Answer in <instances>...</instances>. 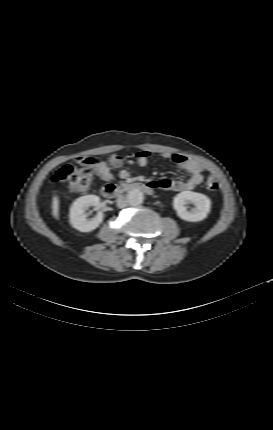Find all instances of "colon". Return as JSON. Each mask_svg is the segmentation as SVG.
Returning a JSON list of instances; mask_svg holds the SVG:
<instances>
[{"label":"colon","instance_id":"5ec220e1","mask_svg":"<svg viewBox=\"0 0 273 430\" xmlns=\"http://www.w3.org/2000/svg\"><path fill=\"white\" fill-rule=\"evenodd\" d=\"M91 172L85 157L77 159L76 165H63L52 175V181L66 187L76 193H84L91 183ZM206 189L213 192L218 189V183L214 177H208L205 183Z\"/></svg>","mask_w":273,"mask_h":430}]
</instances>
